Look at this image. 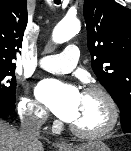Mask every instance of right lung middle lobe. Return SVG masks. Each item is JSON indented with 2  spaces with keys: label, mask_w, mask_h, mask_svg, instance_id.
Masks as SVG:
<instances>
[{
  "label": "right lung middle lobe",
  "mask_w": 131,
  "mask_h": 151,
  "mask_svg": "<svg viewBox=\"0 0 131 151\" xmlns=\"http://www.w3.org/2000/svg\"><path fill=\"white\" fill-rule=\"evenodd\" d=\"M15 66H0V102L15 104Z\"/></svg>",
  "instance_id": "dd1d6c3e"
}]
</instances>
